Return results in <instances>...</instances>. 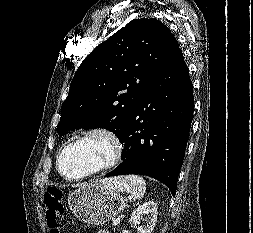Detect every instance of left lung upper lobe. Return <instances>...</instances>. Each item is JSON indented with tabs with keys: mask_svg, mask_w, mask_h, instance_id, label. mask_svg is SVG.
<instances>
[{
	"mask_svg": "<svg viewBox=\"0 0 253 233\" xmlns=\"http://www.w3.org/2000/svg\"><path fill=\"white\" fill-rule=\"evenodd\" d=\"M179 44L157 19H134L81 63L61 108L57 132L105 128L119 140L147 92L163 77Z\"/></svg>",
	"mask_w": 253,
	"mask_h": 233,
	"instance_id": "obj_1",
	"label": "left lung upper lobe"
}]
</instances>
